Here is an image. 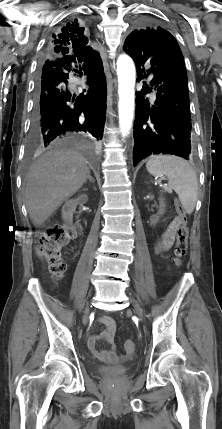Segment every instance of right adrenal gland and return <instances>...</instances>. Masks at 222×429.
I'll return each instance as SVG.
<instances>
[{
	"instance_id": "2a0ac1e0",
	"label": "right adrenal gland",
	"mask_w": 222,
	"mask_h": 429,
	"mask_svg": "<svg viewBox=\"0 0 222 429\" xmlns=\"http://www.w3.org/2000/svg\"><path fill=\"white\" fill-rule=\"evenodd\" d=\"M87 179H88L90 182L95 183V180L91 177L90 173L88 174Z\"/></svg>"
}]
</instances>
